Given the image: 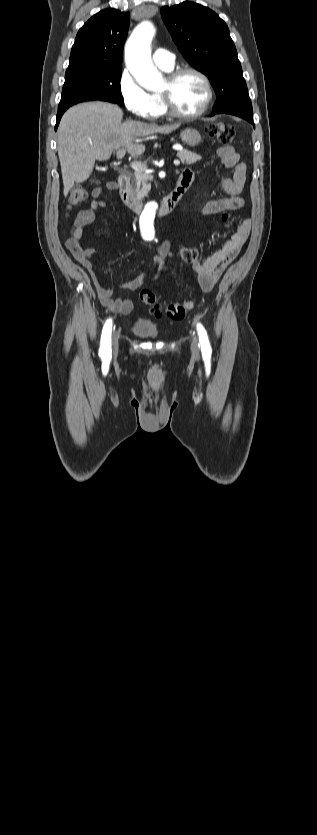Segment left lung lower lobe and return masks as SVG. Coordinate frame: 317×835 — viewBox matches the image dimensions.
<instances>
[{
  "label": "left lung lower lobe",
  "instance_id": "obj_1",
  "mask_svg": "<svg viewBox=\"0 0 317 835\" xmlns=\"http://www.w3.org/2000/svg\"><path fill=\"white\" fill-rule=\"evenodd\" d=\"M216 113H218V114H219V113H225V114L235 115V116L241 117V118H243V119H245V120H247V121H249L250 123H252V124H253V114H247V113L242 112V111H239V110H227V111H217V110H214V111L210 114V116H213V115H215Z\"/></svg>",
  "mask_w": 317,
  "mask_h": 835
}]
</instances>
